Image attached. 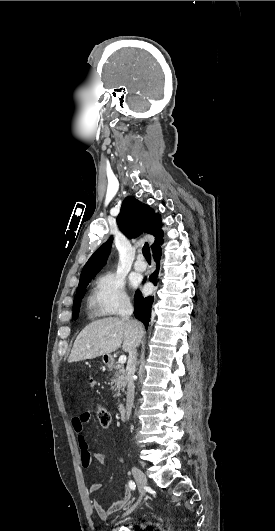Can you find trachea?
Here are the masks:
<instances>
[{"instance_id": "3493384b", "label": "trachea", "mask_w": 275, "mask_h": 531, "mask_svg": "<svg viewBox=\"0 0 275 531\" xmlns=\"http://www.w3.org/2000/svg\"><path fill=\"white\" fill-rule=\"evenodd\" d=\"M143 256L147 261H151V253L148 243H145L142 249Z\"/></svg>"}]
</instances>
